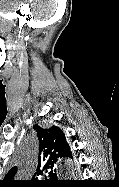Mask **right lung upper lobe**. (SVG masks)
I'll return each instance as SVG.
<instances>
[{"mask_svg": "<svg viewBox=\"0 0 119 187\" xmlns=\"http://www.w3.org/2000/svg\"><path fill=\"white\" fill-rule=\"evenodd\" d=\"M34 129L37 131L40 143L37 173H43L46 169L53 168L56 162L72 157L65 134L59 127L53 125L48 129H44L36 124ZM16 172L17 168L13 167L6 175L5 180H13Z\"/></svg>", "mask_w": 119, "mask_h": 187, "instance_id": "right-lung-upper-lobe-1", "label": "right lung upper lobe"}]
</instances>
